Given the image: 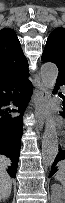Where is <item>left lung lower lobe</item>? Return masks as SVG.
<instances>
[{"label":"left lung lower lobe","mask_w":65,"mask_h":203,"mask_svg":"<svg viewBox=\"0 0 65 203\" xmlns=\"http://www.w3.org/2000/svg\"><path fill=\"white\" fill-rule=\"evenodd\" d=\"M65 86V76H61L58 75L57 81H56V85H55V90L53 91V93H57V90L59 88V86ZM60 96H63L62 93H59ZM63 98V97H62ZM62 108H63V112H61V116H63L65 118V99L63 98V102H62ZM63 163H65V146L62 150L59 151L58 155L56 156L54 163L52 165V169L50 172V176H53L56 172H57V167H56V163L59 161H62Z\"/></svg>","instance_id":"left-lung-lower-lobe-1"}]
</instances>
